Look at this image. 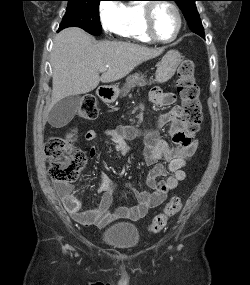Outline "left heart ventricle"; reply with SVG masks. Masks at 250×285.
<instances>
[{"instance_id": "obj_1", "label": "left heart ventricle", "mask_w": 250, "mask_h": 285, "mask_svg": "<svg viewBox=\"0 0 250 285\" xmlns=\"http://www.w3.org/2000/svg\"><path fill=\"white\" fill-rule=\"evenodd\" d=\"M154 30L163 39L171 38L178 26L177 17L174 11L166 6L159 5L154 13Z\"/></svg>"}]
</instances>
